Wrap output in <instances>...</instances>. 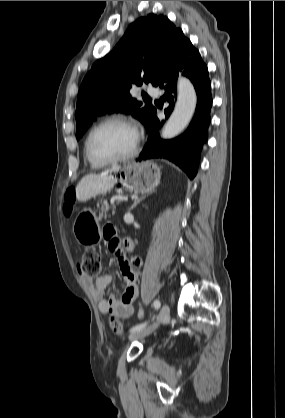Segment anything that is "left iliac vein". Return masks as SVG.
<instances>
[{"mask_svg": "<svg viewBox=\"0 0 285 418\" xmlns=\"http://www.w3.org/2000/svg\"><path fill=\"white\" fill-rule=\"evenodd\" d=\"M170 319V310H169V306L167 304H164L159 312V316L158 319L151 325L135 331L133 333L130 334L129 339L130 340H136L139 338H143L146 337L148 335H150L154 330H156L160 325L168 322Z\"/></svg>", "mask_w": 285, "mask_h": 418, "instance_id": "1", "label": "left iliac vein"}]
</instances>
